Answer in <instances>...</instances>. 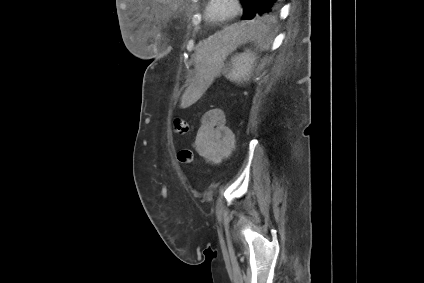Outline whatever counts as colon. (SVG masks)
<instances>
[{
    "label": "colon",
    "instance_id": "1",
    "mask_svg": "<svg viewBox=\"0 0 424 283\" xmlns=\"http://www.w3.org/2000/svg\"><path fill=\"white\" fill-rule=\"evenodd\" d=\"M175 132L184 135L191 131V126L188 121L182 118H176L174 121ZM179 161L186 165H190L193 162V153L188 149L180 150L177 154Z\"/></svg>",
    "mask_w": 424,
    "mask_h": 283
}]
</instances>
